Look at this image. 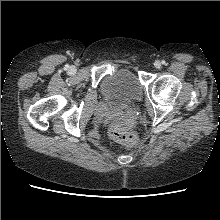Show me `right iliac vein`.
<instances>
[{"label": "right iliac vein", "mask_w": 220, "mask_h": 220, "mask_svg": "<svg viewBox=\"0 0 220 220\" xmlns=\"http://www.w3.org/2000/svg\"><path fill=\"white\" fill-rule=\"evenodd\" d=\"M70 69H71L72 72H75V68L74 67H71Z\"/></svg>", "instance_id": "obj_1"}]
</instances>
